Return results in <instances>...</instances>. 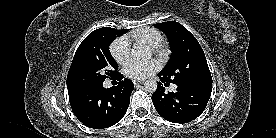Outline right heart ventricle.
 Returning <instances> with one entry per match:
<instances>
[{
  "label": "right heart ventricle",
  "mask_w": 276,
  "mask_h": 138,
  "mask_svg": "<svg viewBox=\"0 0 276 138\" xmlns=\"http://www.w3.org/2000/svg\"><path fill=\"white\" fill-rule=\"evenodd\" d=\"M129 37L137 42H143L151 47H156L162 44L163 35L155 28H143L132 32Z\"/></svg>",
  "instance_id": "1"
}]
</instances>
